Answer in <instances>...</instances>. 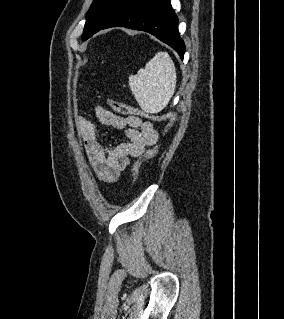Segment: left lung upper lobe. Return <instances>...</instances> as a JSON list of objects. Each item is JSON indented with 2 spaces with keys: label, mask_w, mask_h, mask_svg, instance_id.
<instances>
[{
  "label": "left lung upper lobe",
  "mask_w": 284,
  "mask_h": 319,
  "mask_svg": "<svg viewBox=\"0 0 284 319\" xmlns=\"http://www.w3.org/2000/svg\"><path fill=\"white\" fill-rule=\"evenodd\" d=\"M124 0H94L87 12L82 40H87L109 21Z\"/></svg>",
  "instance_id": "obj_1"
}]
</instances>
